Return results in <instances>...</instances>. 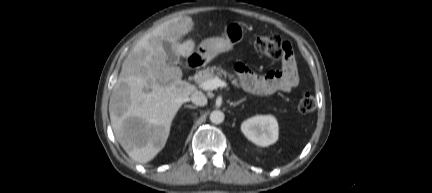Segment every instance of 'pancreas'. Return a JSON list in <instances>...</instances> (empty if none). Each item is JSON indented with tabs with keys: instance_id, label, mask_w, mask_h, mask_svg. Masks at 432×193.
I'll use <instances>...</instances> for the list:
<instances>
[{
	"instance_id": "pancreas-1",
	"label": "pancreas",
	"mask_w": 432,
	"mask_h": 193,
	"mask_svg": "<svg viewBox=\"0 0 432 193\" xmlns=\"http://www.w3.org/2000/svg\"><path fill=\"white\" fill-rule=\"evenodd\" d=\"M228 76L230 79H234V75L233 74H229L226 70H224L223 68H221L220 66L216 67V66H212V67H208L204 70L199 71L196 75H195V81L199 84L203 83L204 81L213 79L215 77H226ZM233 84L238 86V81L237 79H234Z\"/></svg>"
}]
</instances>
